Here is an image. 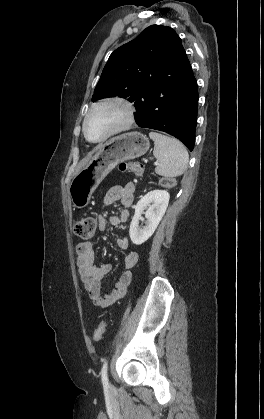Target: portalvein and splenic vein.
<instances>
[{
  "instance_id": "1",
  "label": "portal vein and splenic vein",
  "mask_w": 264,
  "mask_h": 419,
  "mask_svg": "<svg viewBox=\"0 0 264 419\" xmlns=\"http://www.w3.org/2000/svg\"><path fill=\"white\" fill-rule=\"evenodd\" d=\"M145 161L147 162V160H145ZM155 165H158V162L157 161L155 162Z\"/></svg>"
}]
</instances>
